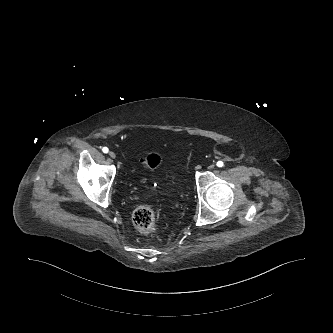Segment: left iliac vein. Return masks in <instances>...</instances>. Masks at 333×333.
I'll return each instance as SVG.
<instances>
[{
    "label": "left iliac vein",
    "mask_w": 333,
    "mask_h": 333,
    "mask_svg": "<svg viewBox=\"0 0 333 333\" xmlns=\"http://www.w3.org/2000/svg\"><path fill=\"white\" fill-rule=\"evenodd\" d=\"M214 168V164H210L209 166H208V169H213Z\"/></svg>",
    "instance_id": "1"
}]
</instances>
